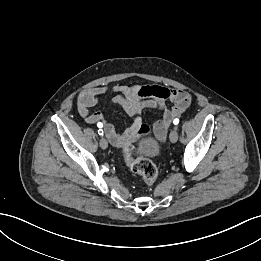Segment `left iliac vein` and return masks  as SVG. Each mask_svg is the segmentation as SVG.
<instances>
[{
  "instance_id": "left-iliac-vein-1",
  "label": "left iliac vein",
  "mask_w": 261,
  "mask_h": 261,
  "mask_svg": "<svg viewBox=\"0 0 261 261\" xmlns=\"http://www.w3.org/2000/svg\"><path fill=\"white\" fill-rule=\"evenodd\" d=\"M169 139L172 143L177 142L178 140V132H177V127H174V129L171 131L169 135Z\"/></svg>"
}]
</instances>
